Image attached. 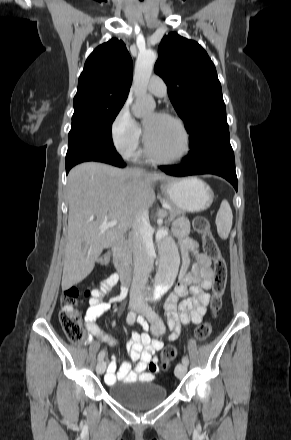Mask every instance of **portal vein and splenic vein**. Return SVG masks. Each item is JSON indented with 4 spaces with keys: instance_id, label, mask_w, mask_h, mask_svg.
<instances>
[{
    "instance_id": "18ae733b",
    "label": "portal vein and splenic vein",
    "mask_w": 291,
    "mask_h": 440,
    "mask_svg": "<svg viewBox=\"0 0 291 440\" xmlns=\"http://www.w3.org/2000/svg\"><path fill=\"white\" fill-rule=\"evenodd\" d=\"M163 208H164V209H168V210L171 209V207H170L169 205H167V204H163ZM117 224H118V221H116V220H112V221H108V222H104V223H102V224L99 226V228H100V229H108V228H112V227L116 226Z\"/></svg>"
}]
</instances>
